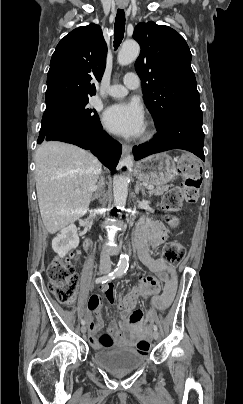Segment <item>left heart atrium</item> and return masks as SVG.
Returning a JSON list of instances; mask_svg holds the SVG:
<instances>
[{"mask_svg": "<svg viewBox=\"0 0 243 404\" xmlns=\"http://www.w3.org/2000/svg\"><path fill=\"white\" fill-rule=\"evenodd\" d=\"M102 123L109 132L136 139L143 135L146 125L142 106L137 100H126L107 107Z\"/></svg>", "mask_w": 243, "mask_h": 404, "instance_id": "39dd6f15", "label": "left heart atrium"}]
</instances>
